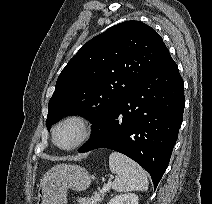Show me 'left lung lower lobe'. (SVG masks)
Segmentation results:
<instances>
[{"label": "left lung lower lobe", "instance_id": "obj_1", "mask_svg": "<svg viewBox=\"0 0 212 204\" xmlns=\"http://www.w3.org/2000/svg\"><path fill=\"white\" fill-rule=\"evenodd\" d=\"M184 105L183 80L168 53L108 111L78 151L108 148L125 154L150 173L156 188L176 143Z\"/></svg>", "mask_w": 212, "mask_h": 204}]
</instances>
